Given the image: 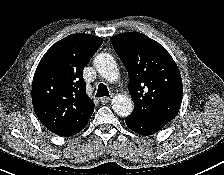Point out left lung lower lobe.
I'll return each mask as SVG.
<instances>
[{"label": "left lung lower lobe", "instance_id": "0a47b994", "mask_svg": "<svg viewBox=\"0 0 224 175\" xmlns=\"http://www.w3.org/2000/svg\"><path fill=\"white\" fill-rule=\"evenodd\" d=\"M126 125L134 132L140 135H152L161 130L168 122L162 120H141L133 117H127L125 119Z\"/></svg>", "mask_w": 224, "mask_h": 175}]
</instances>
